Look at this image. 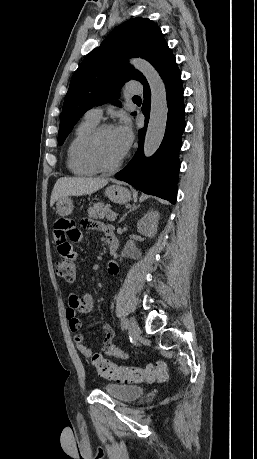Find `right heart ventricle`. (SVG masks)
Masks as SVG:
<instances>
[{
    "label": "right heart ventricle",
    "mask_w": 257,
    "mask_h": 459,
    "mask_svg": "<svg viewBox=\"0 0 257 459\" xmlns=\"http://www.w3.org/2000/svg\"><path fill=\"white\" fill-rule=\"evenodd\" d=\"M98 125V120L85 116L76 126L67 146V167L77 176H90L98 172L82 155V146L88 134Z\"/></svg>",
    "instance_id": "right-heart-ventricle-1"
}]
</instances>
